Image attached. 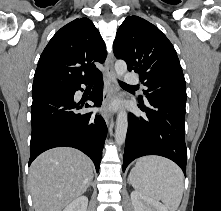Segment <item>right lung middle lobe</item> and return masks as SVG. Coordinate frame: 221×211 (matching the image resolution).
I'll return each mask as SVG.
<instances>
[{"label": "right lung middle lobe", "instance_id": "dd1d6c3e", "mask_svg": "<svg viewBox=\"0 0 221 211\" xmlns=\"http://www.w3.org/2000/svg\"><path fill=\"white\" fill-rule=\"evenodd\" d=\"M55 89H47V90H39V91H32V96L33 98L48 94L52 91H54Z\"/></svg>", "mask_w": 221, "mask_h": 211}]
</instances>
